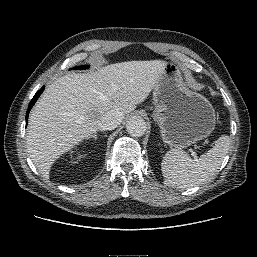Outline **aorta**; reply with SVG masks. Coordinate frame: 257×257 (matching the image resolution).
Masks as SVG:
<instances>
[{
	"label": "aorta",
	"mask_w": 257,
	"mask_h": 257,
	"mask_svg": "<svg viewBox=\"0 0 257 257\" xmlns=\"http://www.w3.org/2000/svg\"><path fill=\"white\" fill-rule=\"evenodd\" d=\"M126 130L133 137H141L146 132V122L140 116H133L127 121Z\"/></svg>",
	"instance_id": "762f6f07"
}]
</instances>
